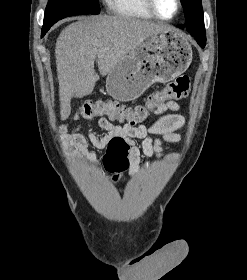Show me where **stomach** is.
I'll return each instance as SVG.
<instances>
[{
  "label": "stomach",
  "mask_w": 247,
  "mask_h": 280,
  "mask_svg": "<svg viewBox=\"0 0 247 280\" xmlns=\"http://www.w3.org/2000/svg\"><path fill=\"white\" fill-rule=\"evenodd\" d=\"M191 61L192 48L182 34L174 30L154 33L110 71L107 92L121 102L135 100L153 83L171 81L185 72Z\"/></svg>",
  "instance_id": "stomach-1"
}]
</instances>
